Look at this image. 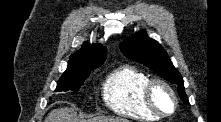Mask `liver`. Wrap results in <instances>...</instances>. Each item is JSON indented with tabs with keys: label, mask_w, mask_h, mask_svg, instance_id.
Instances as JSON below:
<instances>
[{
	"label": "liver",
	"mask_w": 221,
	"mask_h": 122,
	"mask_svg": "<svg viewBox=\"0 0 221 122\" xmlns=\"http://www.w3.org/2000/svg\"><path fill=\"white\" fill-rule=\"evenodd\" d=\"M45 122H80L74 108L63 107L52 110L45 119ZM90 122H128L123 118L99 117L91 119Z\"/></svg>",
	"instance_id": "1"
}]
</instances>
